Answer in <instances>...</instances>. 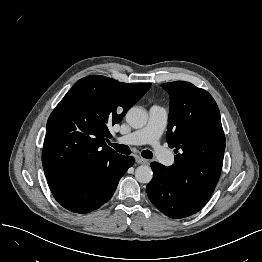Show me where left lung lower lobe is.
Returning <instances> with one entry per match:
<instances>
[{
    "label": "left lung lower lobe",
    "mask_w": 262,
    "mask_h": 262,
    "mask_svg": "<svg viewBox=\"0 0 262 262\" xmlns=\"http://www.w3.org/2000/svg\"><path fill=\"white\" fill-rule=\"evenodd\" d=\"M153 179L147 185V195L152 204L170 218L189 217L201 209L184 190L170 179L169 169L152 162Z\"/></svg>",
    "instance_id": "0a47b994"
}]
</instances>
